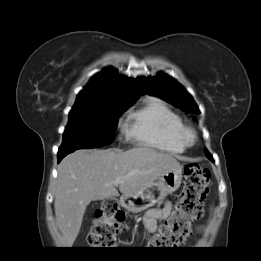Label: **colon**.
<instances>
[{
    "label": "colon",
    "instance_id": "obj_1",
    "mask_svg": "<svg viewBox=\"0 0 261 261\" xmlns=\"http://www.w3.org/2000/svg\"><path fill=\"white\" fill-rule=\"evenodd\" d=\"M210 172L199 165L184 169L183 185L171 215L160 225L151 238L153 248H173L184 242L191 233L192 223L203 215L202 204L208 193ZM126 219L125 213L113 199L106 200L96 210L91 231L87 237L93 248H115L120 228Z\"/></svg>",
    "mask_w": 261,
    "mask_h": 261
}]
</instances>
